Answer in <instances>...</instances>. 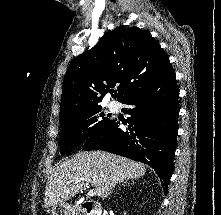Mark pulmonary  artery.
I'll use <instances>...</instances> for the list:
<instances>
[{
	"mask_svg": "<svg viewBox=\"0 0 221 215\" xmlns=\"http://www.w3.org/2000/svg\"><path fill=\"white\" fill-rule=\"evenodd\" d=\"M109 108H110V110H116L117 109V105H116V103H114V102H110L109 103Z\"/></svg>",
	"mask_w": 221,
	"mask_h": 215,
	"instance_id": "pulmonary-artery-1",
	"label": "pulmonary artery"
}]
</instances>
